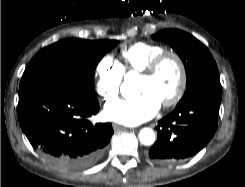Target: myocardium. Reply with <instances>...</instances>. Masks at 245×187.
Segmentation results:
<instances>
[{
  "label": "myocardium",
  "instance_id": "1",
  "mask_svg": "<svg viewBox=\"0 0 245 187\" xmlns=\"http://www.w3.org/2000/svg\"><path fill=\"white\" fill-rule=\"evenodd\" d=\"M168 59H172L175 61L179 68L180 80L178 87L174 94L162 104L163 107L168 108L176 105L184 96L187 88L188 76H187V69L184 60L175 52L172 51H165L153 59H151L146 66L140 71L141 77H152L158 68L161 66L163 62Z\"/></svg>",
  "mask_w": 245,
  "mask_h": 187
}]
</instances>
